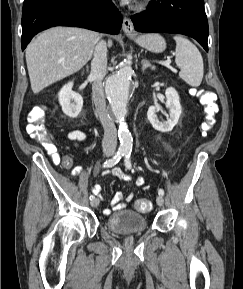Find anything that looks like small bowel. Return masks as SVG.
Here are the masks:
<instances>
[{"mask_svg":"<svg viewBox=\"0 0 243 289\" xmlns=\"http://www.w3.org/2000/svg\"><path fill=\"white\" fill-rule=\"evenodd\" d=\"M67 137L74 141L76 144L81 143L87 139V135L85 132L81 130H72L68 132ZM81 169L77 168L75 173L80 174ZM112 174L125 182L133 181L136 186H142L144 184V178L141 176L138 177H132L131 175L127 174L125 171H123L121 168L116 167L112 170ZM93 193L100 194L101 186L95 185L92 188ZM133 199V194H129L127 196H124L121 192H116L111 200V206L112 210L117 211L121 210L126 207L127 203L130 202ZM110 209H105L103 212L104 214L108 215L111 213Z\"/></svg>","mask_w":243,"mask_h":289,"instance_id":"1","label":"small bowel"}]
</instances>
